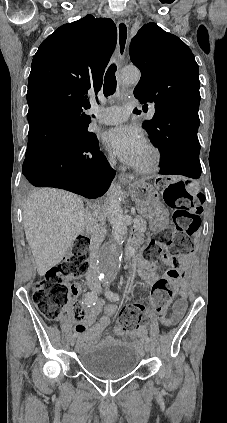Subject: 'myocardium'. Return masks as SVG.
Wrapping results in <instances>:
<instances>
[{"instance_id":"myocardium-1","label":"myocardium","mask_w":227,"mask_h":423,"mask_svg":"<svg viewBox=\"0 0 227 423\" xmlns=\"http://www.w3.org/2000/svg\"><path fill=\"white\" fill-rule=\"evenodd\" d=\"M147 148L151 152V159L144 165H137L135 170L139 173L150 174L157 172L163 162L162 150L154 143H148Z\"/></svg>"}]
</instances>
